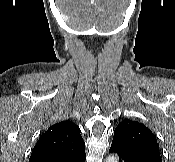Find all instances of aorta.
I'll return each mask as SVG.
<instances>
[{"label": "aorta", "instance_id": "1", "mask_svg": "<svg viewBox=\"0 0 175 162\" xmlns=\"http://www.w3.org/2000/svg\"><path fill=\"white\" fill-rule=\"evenodd\" d=\"M105 162H119L118 156L114 155V154H111V155L108 156V158L106 159Z\"/></svg>", "mask_w": 175, "mask_h": 162}]
</instances>
